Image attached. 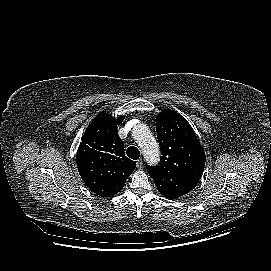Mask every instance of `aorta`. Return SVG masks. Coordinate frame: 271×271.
<instances>
[{"instance_id": "obj_1", "label": "aorta", "mask_w": 271, "mask_h": 271, "mask_svg": "<svg viewBox=\"0 0 271 271\" xmlns=\"http://www.w3.org/2000/svg\"><path fill=\"white\" fill-rule=\"evenodd\" d=\"M133 136L137 140L144 158L150 164H156L159 160V145L149 128L145 124H138L133 129Z\"/></svg>"}]
</instances>
